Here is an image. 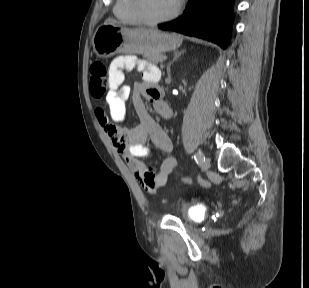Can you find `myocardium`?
<instances>
[{"label":"myocardium","mask_w":309,"mask_h":288,"mask_svg":"<svg viewBox=\"0 0 309 288\" xmlns=\"http://www.w3.org/2000/svg\"><path fill=\"white\" fill-rule=\"evenodd\" d=\"M184 0H178L177 6L169 14L160 18H150L143 10V0H131V10L134 16L141 22L147 25H158L175 18L182 10Z\"/></svg>","instance_id":"f54148a6"}]
</instances>
